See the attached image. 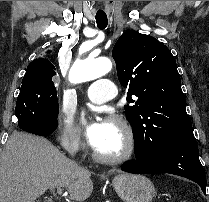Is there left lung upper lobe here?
Listing matches in <instances>:
<instances>
[{"label":"left lung upper lobe","mask_w":209,"mask_h":202,"mask_svg":"<svg viewBox=\"0 0 209 202\" xmlns=\"http://www.w3.org/2000/svg\"><path fill=\"white\" fill-rule=\"evenodd\" d=\"M112 56L121 85L129 87L127 101L132 105L124 109L133 129L134 146L156 153L193 133L176 61L167 46L152 36L126 31Z\"/></svg>","instance_id":"obj_1"}]
</instances>
